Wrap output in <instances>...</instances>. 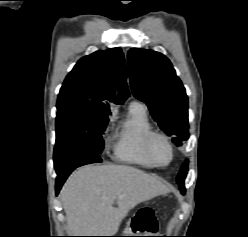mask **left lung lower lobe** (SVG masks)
I'll return each instance as SVG.
<instances>
[{
	"instance_id": "0a47b994",
	"label": "left lung lower lobe",
	"mask_w": 248,
	"mask_h": 237,
	"mask_svg": "<svg viewBox=\"0 0 248 237\" xmlns=\"http://www.w3.org/2000/svg\"><path fill=\"white\" fill-rule=\"evenodd\" d=\"M187 167H188V161H186V162L184 163V165L182 166L181 171H182V172H183V171H187ZM180 190H181V193H182V194H185V187H184V184H180Z\"/></svg>"
}]
</instances>
